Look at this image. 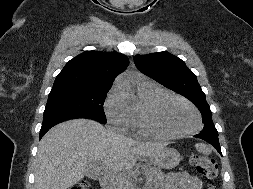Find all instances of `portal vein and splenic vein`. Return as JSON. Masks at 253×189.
I'll return each mask as SVG.
<instances>
[{"mask_svg":"<svg viewBox=\"0 0 253 189\" xmlns=\"http://www.w3.org/2000/svg\"><path fill=\"white\" fill-rule=\"evenodd\" d=\"M97 172H100L102 170V167L99 165H97L96 169H95Z\"/></svg>","mask_w":253,"mask_h":189,"instance_id":"1","label":"portal vein and splenic vein"}]
</instances>
